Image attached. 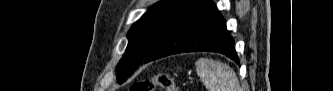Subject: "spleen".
Segmentation results:
<instances>
[{
	"mask_svg": "<svg viewBox=\"0 0 333 91\" xmlns=\"http://www.w3.org/2000/svg\"><path fill=\"white\" fill-rule=\"evenodd\" d=\"M195 66L208 91H240L238 78L229 65L210 58H199Z\"/></svg>",
	"mask_w": 333,
	"mask_h": 91,
	"instance_id": "3e777b00",
	"label": "spleen"
}]
</instances>
